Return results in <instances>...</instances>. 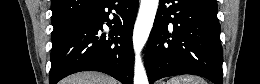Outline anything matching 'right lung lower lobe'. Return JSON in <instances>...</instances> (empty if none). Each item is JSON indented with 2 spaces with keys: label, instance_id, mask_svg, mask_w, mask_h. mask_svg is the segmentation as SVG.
Wrapping results in <instances>:
<instances>
[{
  "label": "right lung lower lobe",
  "instance_id": "obj_1",
  "mask_svg": "<svg viewBox=\"0 0 260 84\" xmlns=\"http://www.w3.org/2000/svg\"><path fill=\"white\" fill-rule=\"evenodd\" d=\"M111 10L113 19H109ZM137 10L138 0H100L67 24L52 38L50 84L80 71H100L133 84L132 32ZM104 23L110 27L108 36L101 34Z\"/></svg>",
  "mask_w": 260,
  "mask_h": 84
}]
</instances>
